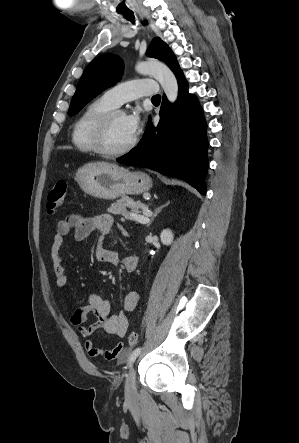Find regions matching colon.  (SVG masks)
<instances>
[{
  "mask_svg": "<svg viewBox=\"0 0 299 443\" xmlns=\"http://www.w3.org/2000/svg\"><path fill=\"white\" fill-rule=\"evenodd\" d=\"M67 183L64 180H59L55 183L47 196L46 208L49 214L56 213L64 203L67 193ZM139 336L136 332H131L128 335V343L131 347L138 343Z\"/></svg>",
  "mask_w": 299,
  "mask_h": 443,
  "instance_id": "colon-1",
  "label": "colon"
}]
</instances>
